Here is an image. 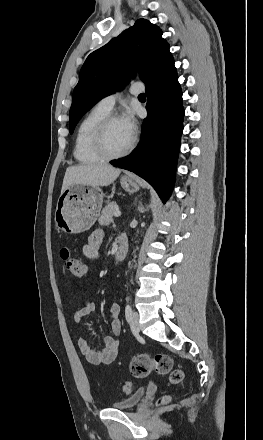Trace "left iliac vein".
<instances>
[{
    "mask_svg": "<svg viewBox=\"0 0 263 440\" xmlns=\"http://www.w3.org/2000/svg\"><path fill=\"white\" fill-rule=\"evenodd\" d=\"M130 328L133 334H139L140 332L139 316L136 312H133L131 315Z\"/></svg>",
    "mask_w": 263,
    "mask_h": 440,
    "instance_id": "left-iliac-vein-1",
    "label": "left iliac vein"
}]
</instances>
